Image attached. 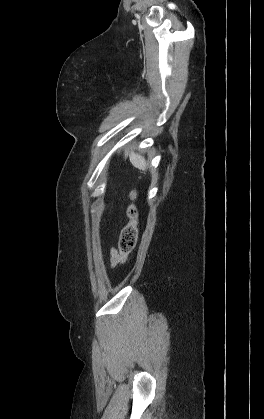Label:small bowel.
<instances>
[{"mask_svg": "<svg viewBox=\"0 0 264 419\" xmlns=\"http://www.w3.org/2000/svg\"><path fill=\"white\" fill-rule=\"evenodd\" d=\"M110 262L113 267L121 262V256L115 248L110 249Z\"/></svg>", "mask_w": 264, "mask_h": 419, "instance_id": "c3829d8e", "label": "small bowel"}]
</instances>
